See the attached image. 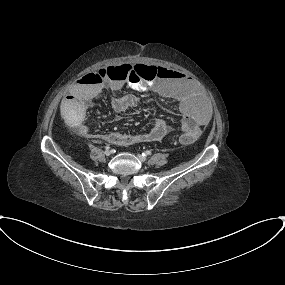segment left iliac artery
Wrapping results in <instances>:
<instances>
[{
    "label": "left iliac artery",
    "instance_id": "44dca946",
    "mask_svg": "<svg viewBox=\"0 0 285 285\" xmlns=\"http://www.w3.org/2000/svg\"><path fill=\"white\" fill-rule=\"evenodd\" d=\"M151 154H152L151 151H145L142 153V156L146 157V156L151 155Z\"/></svg>",
    "mask_w": 285,
    "mask_h": 285
}]
</instances>
